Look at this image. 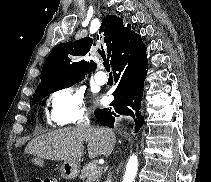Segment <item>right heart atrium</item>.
Listing matches in <instances>:
<instances>
[{"instance_id": "obj_1", "label": "right heart atrium", "mask_w": 211, "mask_h": 182, "mask_svg": "<svg viewBox=\"0 0 211 182\" xmlns=\"http://www.w3.org/2000/svg\"><path fill=\"white\" fill-rule=\"evenodd\" d=\"M49 104V119L57 126L80 124L88 117L84 95L73 87H66L51 94Z\"/></svg>"}]
</instances>
